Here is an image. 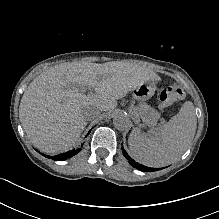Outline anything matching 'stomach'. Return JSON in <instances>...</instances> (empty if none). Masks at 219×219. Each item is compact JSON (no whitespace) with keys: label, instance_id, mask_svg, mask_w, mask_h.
Returning a JSON list of instances; mask_svg holds the SVG:
<instances>
[{"label":"stomach","instance_id":"0dacf381","mask_svg":"<svg viewBox=\"0 0 219 219\" xmlns=\"http://www.w3.org/2000/svg\"><path fill=\"white\" fill-rule=\"evenodd\" d=\"M155 91V82H144L133 90L134 98L139 101V115L148 126H155L160 118L159 112L146 103L154 95Z\"/></svg>","mask_w":219,"mask_h":219}]
</instances>
